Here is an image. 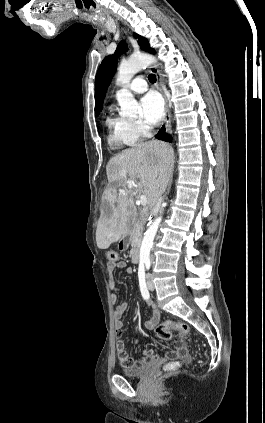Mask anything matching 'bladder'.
I'll use <instances>...</instances> for the list:
<instances>
[{"instance_id":"bladder-1","label":"bladder","mask_w":265,"mask_h":423,"mask_svg":"<svg viewBox=\"0 0 265 423\" xmlns=\"http://www.w3.org/2000/svg\"><path fill=\"white\" fill-rule=\"evenodd\" d=\"M148 368H149V365L147 364H144L137 368L126 367L121 370V373L126 377L135 378V377H139L143 375Z\"/></svg>"}]
</instances>
